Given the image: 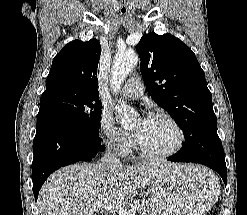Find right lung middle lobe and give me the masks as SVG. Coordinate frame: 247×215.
<instances>
[{"label":"right lung middle lobe","mask_w":247,"mask_h":215,"mask_svg":"<svg viewBox=\"0 0 247 215\" xmlns=\"http://www.w3.org/2000/svg\"><path fill=\"white\" fill-rule=\"evenodd\" d=\"M100 111L98 95H87L71 89H54L42 94L37 120L55 118L98 134Z\"/></svg>","instance_id":"right-lung-middle-lobe-1"}]
</instances>
